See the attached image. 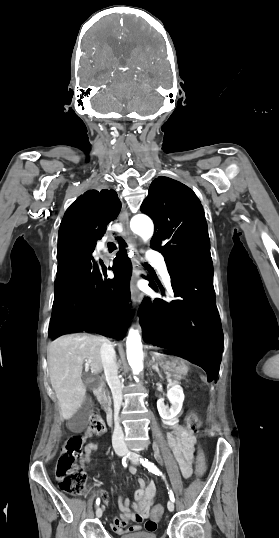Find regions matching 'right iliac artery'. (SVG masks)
Returning <instances> with one entry per match:
<instances>
[{"label": "right iliac artery", "mask_w": 279, "mask_h": 538, "mask_svg": "<svg viewBox=\"0 0 279 538\" xmlns=\"http://www.w3.org/2000/svg\"><path fill=\"white\" fill-rule=\"evenodd\" d=\"M128 457H130V453H128L127 456H125V457L122 459V464H123L124 467L127 466L126 461H127V458H128ZM99 504H100V499L97 498V500H96V506H99Z\"/></svg>", "instance_id": "1"}]
</instances>
